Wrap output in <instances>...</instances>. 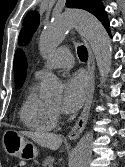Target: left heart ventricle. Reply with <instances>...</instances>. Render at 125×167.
<instances>
[{"mask_svg":"<svg viewBox=\"0 0 125 167\" xmlns=\"http://www.w3.org/2000/svg\"><path fill=\"white\" fill-rule=\"evenodd\" d=\"M49 104H50L52 107H58L59 104H60V99L57 98V99H55V100L49 102Z\"/></svg>","mask_w":125,"mask_h":167,"instance_id":"left-heart-ventricle-1","label":"left heart ventricle"}]
</instances>
